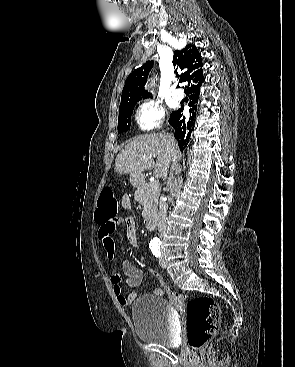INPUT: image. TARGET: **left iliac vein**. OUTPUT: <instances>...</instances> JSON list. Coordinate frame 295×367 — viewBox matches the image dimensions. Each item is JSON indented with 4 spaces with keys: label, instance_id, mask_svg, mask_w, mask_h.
Masks as SVG:
<instances>
[{
    "label": "left iliac vein",
    "instance_id": "left-iliac-vein-1",
    "mask_svg": "<svg viewBox=\"0 0 295 367\" xmlns=\"http://www.w3.org/2000/svg\"><path fill=\"white\" fill-rule=\"evenodd\" d=\"M159 264L162 268H165L166 267V259L164 257V255H162L159 259Z\"/></svg>",
    "mask_w": 295,
    "mask_h": 367
}]
</instances>
